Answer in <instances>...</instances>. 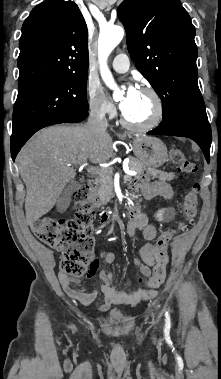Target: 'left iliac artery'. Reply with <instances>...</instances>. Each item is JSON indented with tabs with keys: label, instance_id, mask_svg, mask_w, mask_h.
I'll return each mask as SVG.
<instances>
[{
	"label": "left iliac artery",
	"instance_id": "left-iliac-artery-1",
	"mask_svg": "<svg viewBox=\"0 0 221 379\" xmlns=\"http://www.w3.org/2000/svg\"><path fill=\"white\" fill-rule=\"evenodd\" d=\"M166 317H167L166 323L170 324V318L168 317V313H166Z\"/></svg>",
	"mask_w": 221,
	"mask_h": 379
}]
</instances>
